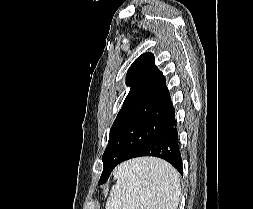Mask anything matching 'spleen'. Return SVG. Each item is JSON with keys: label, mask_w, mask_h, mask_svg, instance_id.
I'll return each instance as SVG.
<instances>
[{"label": "spleen", "mask_w": 253, "mask_h": 209, "mask_svg": "<svg viewBox=\"0 0 253 209\" xmlns=\"http://www.w3.org/2000/svg\"><path fill=\"white\" fill-rule=\"evenodd\" d=\"M106 209H177L180 180L169 163L152 157L135 158L114 170Z\"/></svg>", "instance_id": "1"}]
</instances>
